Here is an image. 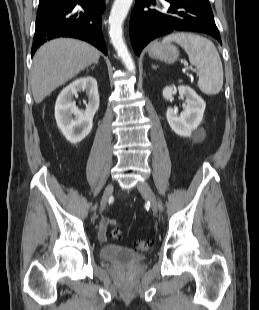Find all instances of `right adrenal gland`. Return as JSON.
<instances>
[{
    "label": "right adrenal gland",
    "instance_id": "obj_1",
    "mask_svg": "<svg viewBox=\"0 0 259 310\" xmlns=\"http://www.w3.org/2000/svg\"><path fill=\"white\" fill-rule=\"evenodd\" d=\"M97 63H98V62H97ZM97 63H96V64H97ZM94 67H95V65L92 67V69H94Z\"/></svg>",
    "mask_w": 259,
    "mask_h": 310
}]
</instances>
